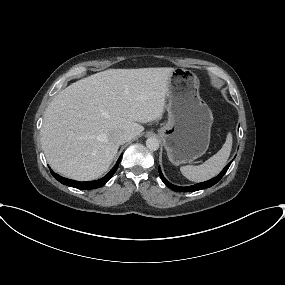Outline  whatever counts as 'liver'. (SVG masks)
<instances>
[{"label":"liver","instance_id":"1","mask_svg":"<svg viewBox=\"0 0 285 285\" xmlns=\"http://www.w3.org/2000/svg\"><path fill=\"white\" fill-rule=\"evenodd\" d=\"M174 68L108 69L72 83L48 105L41 143L49 165L78 181L102 176L119 144L115 131L129 140L144 131L141 123L162 117Z\"/></svg>","mask_w":285,"mask_h":285}]
</instances>
